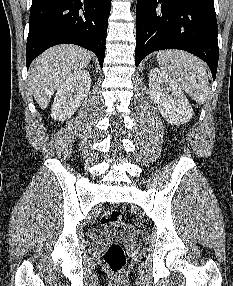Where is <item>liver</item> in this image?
Listing matches in <instances>:
<instances>
[{
	"instance_id": "liver-1",
	"label": "liver",
	"mask_w": 233,
	"mask_h": 286,
	"mask_svg": "<svg viewBox=\"0 0 233 286\" xmlns=\"http://www.w3.org/2000/svg\"><path fill=\"white\" fill-rule=\"evenodd\" d=\"M92 54L75 45H58L42 53L30 67V87L41 109H45L60 85L74 72L84 69Z\"/></svg>"
}]
</instances>
